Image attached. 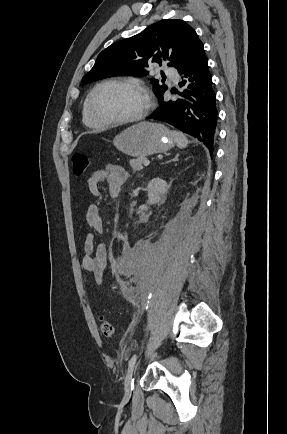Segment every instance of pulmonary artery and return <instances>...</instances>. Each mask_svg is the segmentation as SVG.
Returning <instances> with one entry per match:
<instances>
[{"label": "pulmonary artery", "instance_id": "e3ab8cb5", "mask_svg": "<svg viewBox=\"0 0 287 434\" xmlns=\"http://www.w3.org/2000/svg\"><path fill=\"white\" fill-rule=\"evenodd\" d=\"M166 75L171 78L174 82L178 80V73L173 68H167L165 70Z\"/></svg>", "mask_w": 287, "mask_h": 434}]
</instances>
